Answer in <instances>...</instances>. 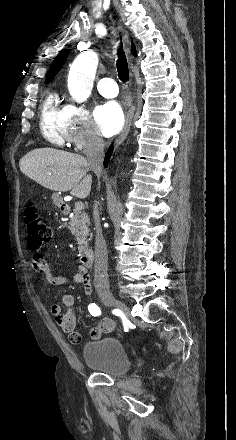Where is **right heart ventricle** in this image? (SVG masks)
Wrapping results in <instances>:
<instances>
[{"label":"right heart ventricle","mask_w":236,"mask_h":440,"mask_svg":"<svg viewBox=\"0 0 236 440\" xmlns=\"http://www.w3.org/2000/svg\"><path fill=\"white\" fill-rule=\"evenodd\" d=\"M40 128L42 135L50 143L57 146L65 144L67 133L64 107L60 105L55 93H49L43 102Z\"/></svg>","instance_id":"obj_1"}]
</instances>
